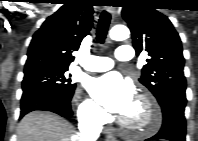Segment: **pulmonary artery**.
I'll return each mask as SVG.
<instances>
[{
    "instance_id": "e3ab8cb5",
    "label": "pulmonary artery",
    "mask_w": 198,
    "mask_h": 141,
    "mask_svg": "<svg viewBox=\"0 0 198 141\" xmlns=\"http://www.w3.org/2000/svg\"><path fill=\"white\" fill-rule=\"evenodd\" d=\"M115 58L120 61H131L133 49L130 46H120L115 52ZM114 62L110 57L90 56V62L85 66V70L92 72H102L113 67Z\"/></svg>"
}]
</instances>
